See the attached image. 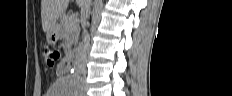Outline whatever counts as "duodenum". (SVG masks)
<instances>
[{"label":"duodenum","instance_id":"410a0bca","mask_svg":"<svg viewBox=\"0 0 232 96\" xmlns=\"http://www.w3.org/2000/svg\"><path fill=\"white\" fill-rule=\"evenodd\" d=\"M74 65V58L72 55H70L67 60L62 64L61 69L67 70L68 68H71Z\"/></svg>","mask_w":232,"mask_h":96}]
</instances>
